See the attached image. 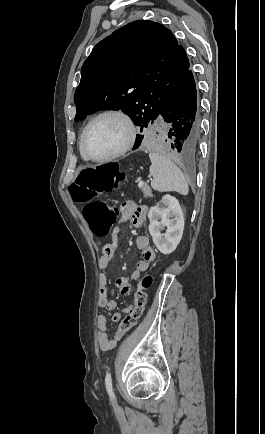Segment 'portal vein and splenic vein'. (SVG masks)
Here are the masks:
<instances>
[{
  "label": "portal vein and splenic vein",
  "instance_id": "obj_1",
  "mask_svg": "<svg viewBox=\"0 0 265 434\" xmlns=\"http://www.w3.org/2000/svg\"><path fill=\"white\" fill-rule=\"evenodd\" d=\"M143 184H144V182H142V180H140V182L138 184L139 188H143Z\"/></svg>",
  "mask_w": 265,
  "mask_h": 434
}]
</instances>
